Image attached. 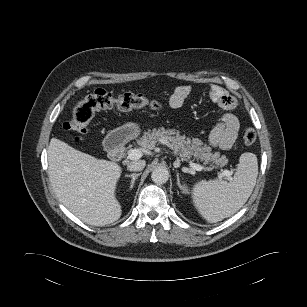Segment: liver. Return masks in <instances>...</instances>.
<instances>
[{"mask_svg":"<svg viewBox=\"0 0 307 307\" xmlns=\"http://www.w3.org/2000/svg\"><path fill=\"white\" fill-rule=\"evenodd\" d=\"M47 153L51 185L69 211L93 226L120 218L115 190L122 169L117 163L75 150L56 138L51 139Z\"/></svg>","mask_w":307,"mask_h":307,"instance_id":"liver-1","label":"liver"}]
</instances>
